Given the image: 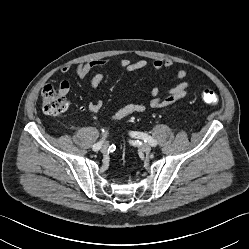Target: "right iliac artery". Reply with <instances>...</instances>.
<instances>
[{
	"mask_svg": "<svg viewBox=\"0 0 249 249\" xmlns=\"http://www.w3.org/2000/svg\"><path fill=\"white\" fill-rule=\"evenodd\" d=\"M102 143H103V140H101V141L97 142L96 144H94L93 145V150L98 151L101 148Z\"/></svg>",
	"mask_w": 249,
	"mask_h": 249,
	"instance_id": "1",
	"label": "right iliac artery"
}]
</instances>
